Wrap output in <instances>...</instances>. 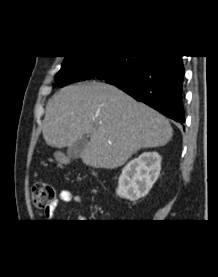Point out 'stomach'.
Returning <instances> with one entry per match:
<instances>
[{"instance_id":"0dacf381","label":"stomach","mask_w":218,"mask_h":277,"mask_svg":"<svg viewBox=\"0 0 218 277\" xmlns=\"http://www.w3.org/2000/svg\"><path fill=\"white\" fill-rule=\"evenodd\" d=\"M55 158L61 162H65V158L64 155L61 152H56L54 154Z\"/></svg>"}]
</instances>
